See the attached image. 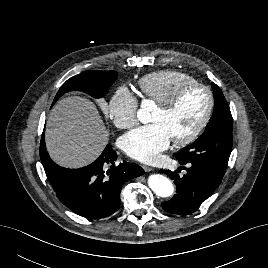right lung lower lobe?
<instances>
[{
	"mask_svg": "<svg viewBox=\"0 0 268 268\" xmlns=\"http://www.w3.org/2000/svg\"><path fill=\"white\" fill-rule=\"evenodd\" d=\"M41 144L45 145L44 134ZM117 154L107 145L92 164L80 169H65L52 161L46 172L58 199L76 214L86 218H103L120 206V191L129 180L144 170L126 161L115 164Z\"/></svg>",
	"mask_w": 268,
	"mask_h": 268,
	"instance_id": "right-lung-lower-lobe-1",
	"label": "right lung lower lobe"
}]
</instances>
